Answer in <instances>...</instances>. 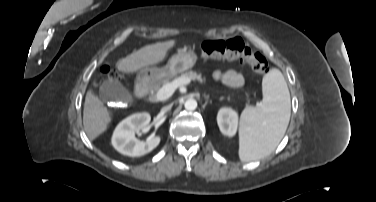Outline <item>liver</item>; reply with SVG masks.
Instances as JSON below:
<instances>
[{
  "mask_svg": "<svg viewBox=\"0 0 376 202\" xmlns=\"http://www.w3.org/2000/svg\"><path fill=\"white\" fill-rule=\"evenodd\" d=\"M175 45V40L158 42L147 45L116 63V67L123 73H133L137 70L160 63L167 51ZM111 116L103 102L89 90L85 97L83 110V125L90 140H94L108 127Z\"/></svg>",
  "mask_w": 376,
  "mask_h": 202,
  "instance_id": "1",
  "label": "liver"
}]
</instances>
